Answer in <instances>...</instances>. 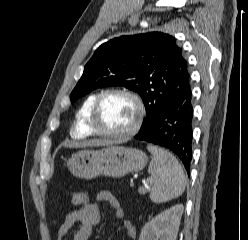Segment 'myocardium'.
<instances>
[{"instance_id": "myocardium-1", "label": "myocardium", "mask_w": 248, "mask_h": 240, "mask_svg": "<svg viewBox=\"0 0 248 240\" xmlns=\"http://www.w3.org/2000/svg\"><path fill=\"white\" fill-rule=\"evenodd\" d=\"M113 95H122V96L129 98L134 103L136 107V111H137L136 118H135L133 125L129 129L122 131V132L104 131L100 129L98 126L99 112H100L101 106L108 97L113 96ZM145 114H146L145 105L141 97L137 93L129 89L116 88V89L107 90L99 95V97L95 101L93 108L91 110L89 122H90L93 132L96 135L107 137V138H126V137L135 135L140 130L143 124L144 118H145Z\"/></svg>"}]
</instances>
